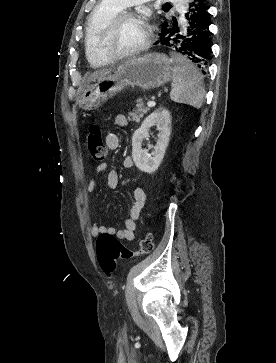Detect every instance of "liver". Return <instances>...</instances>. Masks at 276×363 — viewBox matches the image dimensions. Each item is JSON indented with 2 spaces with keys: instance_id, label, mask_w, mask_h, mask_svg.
<instances>
[{
  "instance_id": "obj_1",
  "label": "liver",
  "mask_w": 276,
  "mask_h": 363,
  "mask_svg": "<svg viewBox=\"0 0 276 363\" xmlns=\"http://www.w3.org/2000/svg\"><path fill=\"white\" fill-rule=\"evenodd\" d=\"M110 70L111 69H101V70H97V71L93 72L91 75H89V77L87 78L86 82L89 84L90 82L96 80L99 76L107 73Z\"/></svg>"
}]
</instances>
